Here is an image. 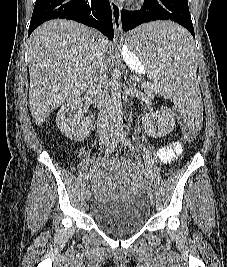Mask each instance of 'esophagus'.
Wrapping results in <instances>:
<instances>
[{"label": "esophagus", "mask_w": 227, "mask_h": 267, "mask_svg": "<svg viewBox=\"0 0 227 267\" xmlns=\"http://www.w3.org/2000/svg\"><path fill=\"white\" fill-rule=\"evenodd\" d=\"M112 14H113V24L114 30L117 35L121 32V10L122 6L117 0H110Z\"/></svg>", "instance_id": "1"}]
</instances>
